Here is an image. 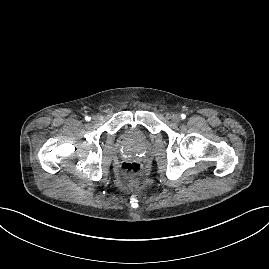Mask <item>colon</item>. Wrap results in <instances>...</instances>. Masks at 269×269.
<instances>
[{
  "label": "colon",
  "mask_w": 269,
  "mask_h": 269,
  "mask_svg": "<svg viewBox=\"0 0 269 269\" xmlns=\"http://www.w3.org/2000/svg\"><path fill=\"white\" fill-rule=\"evenodd\" d=\"M142 171V165L138 162H123L119 166V173L125 180H134L140 178Z\"/></svg>",
  "instance_id": "5ec220e1"
}]
</instances>
